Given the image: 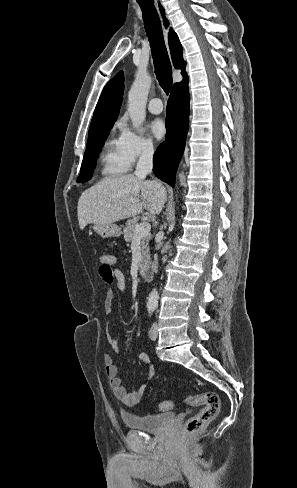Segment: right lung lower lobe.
I'll list each match as a JSON object with an SVG mask.
<instances>
[{"label": "right lung lower lobe", "mask_w": 297, "mask_h": 488, "mask_svg": "<svg viewBox=\"0 0 297 488\" xmlns=\"http://www.w3.org/2000/svg\"><path fill=\"white\" fill-rule=\"evenodd\" d=\"M189 116L188 78L173 86L167 104L165 141L153 157V172L170 186L175 185L178 164L184 152Z\"/></svg>", "instance_id": "1"}]
</instances>
